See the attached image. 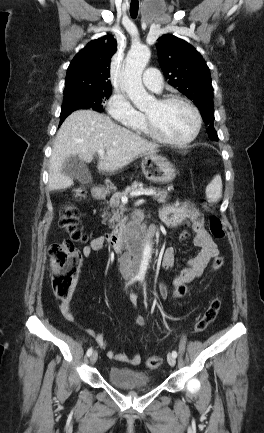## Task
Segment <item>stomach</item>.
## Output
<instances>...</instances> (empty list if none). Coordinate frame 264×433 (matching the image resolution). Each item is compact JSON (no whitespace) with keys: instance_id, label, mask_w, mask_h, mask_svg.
I'll list each match as a JSON object with an SVG mask.
<instances>
[{"instance_id":"1","label":"stomach","mask_w":264,"mask_h":433,"mask_svg":"<svg viewBox=\"0 0 264 433\" xmlns=\"http://www.w3.org/2000/svg\"><path fill=\"white\" fill-rule=\"evenodd\" d=\"M141 169L145 178L155 183H170L176 177L174 165L158 155H145L141 161Z\"/></svg>"}]
</instances>
